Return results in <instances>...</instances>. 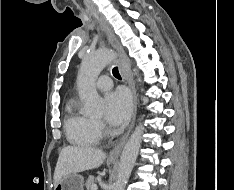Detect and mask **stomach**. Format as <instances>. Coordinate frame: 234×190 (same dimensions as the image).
Returning a JSON list of instances; mask_svg holds the SVG:
<instances>
[{"mask_svg":"<svg viewBox=\"0 0 234 190\" xmlns=\"http://www.w3.org/2000/svg\"><path fill=\"white\" fill-rule=\"evenodd\" d=\"M114 163V160H110ZM84 178L77 174H68L62 178V180L57 184L54 190H83Z\"/></svg>","mask_w":234,"mask_h":190,"instance_id":"stomach-1","label":"stomach"}]
</instances>
